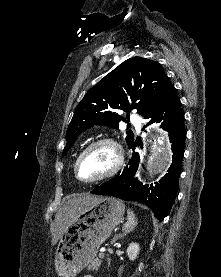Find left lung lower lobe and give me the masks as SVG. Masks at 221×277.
Segmentation results:
<instances>
[{
    "mask_svg": "<svg viewBox=\"0 0 221 277\" xmlns=\"http://www.w3.org/2000/svg\"><path fill=\"white\" fill-rule=\"evenodd\" d=\"M150 118L147 125L161 123V128L169 133L173 160L168 173L155 186L143 185L135 178L140 157L138 153L133 152L132 158L121 174L98 186L91 193L146 203L156 218L162 221L167 216L177 194L186 138L184 116L175 90ZM134 144L137 145V142L131 147Z\"/></svg>",
    "mask_w": 221,
    "mask_h": 277,
    "instance_id": "1",
    "label": "left lung lower lobe"
}]
</instances>
